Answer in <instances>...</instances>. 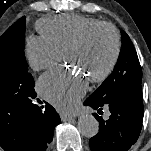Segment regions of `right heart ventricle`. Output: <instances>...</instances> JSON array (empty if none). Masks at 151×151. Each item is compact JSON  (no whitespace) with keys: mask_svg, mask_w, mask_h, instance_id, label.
<instances>
[{"mask_svg":"<svg viewBox=\"0 0 151 151\" xmlns=\"http://www.w3.org/2000/svg\"><path fill=\"white\" fill-rule=\"evenodd\" d=\"M102 23L100 20L76 14H64L41 19L37 28L45 39L62 53L69 44L79 38L89 27Z\"/></svg>","mask_w":151,"mask_h":151,"instance_id":"e07e8e85","label":"right heart ventricle"}]
</instances>
